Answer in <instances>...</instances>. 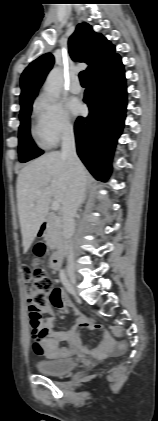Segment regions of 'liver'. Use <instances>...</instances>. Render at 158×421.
I'll return each instance as SVG.
<instances>
[{
    "label": "liver",
    "instance_id": "6515ba94",
    "mask_svg": "<svg viewBox=\"0 0 158 421\" xmlns=\"http://www.w3.org/2000/svg\"><path fill=\"white\" fill-rule=\"evenodd\" d=\"M69 184L68 162L58 151L40 156L19 172L17 205L24 252L39 232L49 212L51 199L63 203Z\"/></svg>",
    "mask_w": 158,
    "mask_h": 421
}]
</instances>
